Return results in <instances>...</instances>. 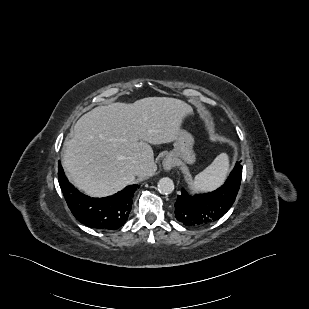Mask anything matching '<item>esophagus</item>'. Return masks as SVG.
I'll use <instances>...</instances> for the list:
<instances>
[{"instance_id": "obj_1", "label": "esophagus", "mask_w": 309, "mask_h": 309, "mask_svg": "<svg viewBox=\"0 0 309 309\" xmlns=\"http://www.w3.org/2000/svg\"><path fill=\"white\" fill-rule=\"evenodd\" d=\"M163 169L168 171V170H171L174 166V163H173V160L172 158L170 157H166L164 160H163Z\"/></svg>"}]
</instances>
